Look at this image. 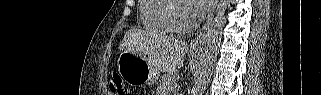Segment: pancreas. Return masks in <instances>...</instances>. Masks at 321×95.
Here are the masks:
<instances>
[{
    "label": "pancreas",
    "instance_id": "1",
    "mask_svg": "<svg viewBox=\"0 0 321 95\" xmlns=\"http://www.w3.org/2000/svg\"><path fill=\"white\" fill-rule=\"evenodd\" d=\"M176 78L177 74L175 72H168L164 74L158 83V94L166 95V92L172 91L174 88H176Z\"/></svg>",
    "mask_w": 321,
    "mask_h": 95
}]
</instances>
